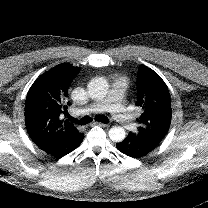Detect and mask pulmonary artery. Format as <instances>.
I'll return each mask as SVG.
<instances>
[{
  "instance_id": "obj_1",
  "label": "pulmonary artery",
  "mask_w": 208,
  "mask_h": 208,
  "mask_svg": "<svg viewBox=\"0 0 208 208\" xmlns=\"http://www.w3.org/2000/svg\"><path fill=\"white\" fill-rule=\"evenodd\" d=\"M128 86V79L119 77L114 80L112 89L106 100H96L81 110V113L108 111L113 119L124 127L137 130L136 125L131 124L133 119L131 109L126 107L125 91Z\"/></svg>"
}]
</instances>
